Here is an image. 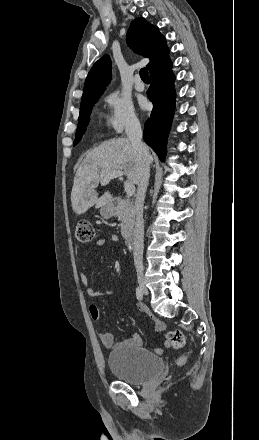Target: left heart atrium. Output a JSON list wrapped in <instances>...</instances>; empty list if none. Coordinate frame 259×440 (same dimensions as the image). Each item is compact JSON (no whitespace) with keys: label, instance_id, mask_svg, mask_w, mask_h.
Returning <instances> with one entry per match:
<instances>
[{"label":"left heart atrium","instance_id":"obj_1","mask_svg":"<svg viewBox=\"0 0 259 440\" xmlns=\"http://www.w3.org/2000/svg\"><path fill=\"white\" fill-rule=\"evenodd\" d=\"M147 106H148V105H147V102H146V101H144V100L141 101V107H142V108H147Z\"/></svg>","mask_w":259,"mask_h":440}]
</instances>
